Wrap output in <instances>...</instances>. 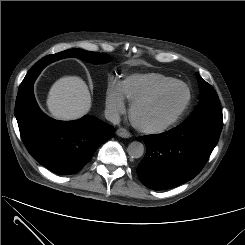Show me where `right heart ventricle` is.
I'll return each instance as SVG.
<instances>
[{"label": "right heart ventricle", "mask_w": 245, "mask_h": 245, "mask_svg": "<svg viewBox=\"0 0 245 245\" xmlns=\"http://www.w3.org/2000/svg\"><path fill=\"white\" fill-rule=\"evenodd\" d=\"M175 79L159 73L134 74L120 82L124 97L133 103L136 99L162 87Z\"/></svg>", "instance_id": "obj_1"}]
</instances>
